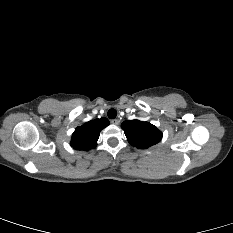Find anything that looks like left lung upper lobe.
<instances>
[{
  "instance_id": "left-lung-upper-lobe-1",
  "label": "left lung upper lobe",
  "mask_w": 233,
  "mask_h": 233,
  "mask_svg": "<svg viewBox=\"0 0 233 233\" xmlns=\"http://www.w3.org/2000/svg\"><path fill=\"white\" fill-rule=\"evenodd\" d=\"M122 129L132 146L140 149L149 148L162 139V132L154 125L140 120H127L121 124Z\"/></svg>"
}]
</instances>
